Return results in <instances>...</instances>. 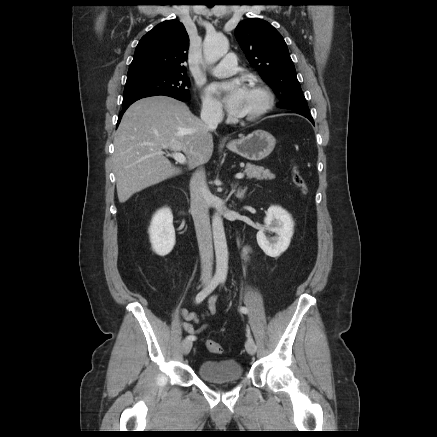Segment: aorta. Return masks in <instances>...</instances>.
Wrapping results in <instances>:
<instances>
[{
	"instance_id": "762f6f07",
	"label": "aorta",
	"mask_w": 437,
	"mask_h": 437,
	"mask_svg": "<svg viewBox=\"0 0 437 437\" xmlns=\"http://www.w3.org/2000/svg\"><path fill=\"white\" fill-rule=\"evenodd\" d=\"M229 49L228 39L221 34L207 36L203 44L204 58L207 64L216 63ZM212 231L216 256V276L226 278L228 271V248L223 226V219L219 212L212 218Z\"/></svg>"
}]
</instances>
